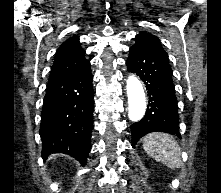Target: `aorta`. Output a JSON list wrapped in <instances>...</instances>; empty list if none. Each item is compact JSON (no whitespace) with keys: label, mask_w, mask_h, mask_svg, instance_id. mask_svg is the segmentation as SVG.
<instances>
[{"label":"aorta","mask_w":221,"mask_h":193,"mask_svg":"<svg viewBox=\"0 0 221 193\" xmlns=\"http://www.w3.org/2000/svg\"><path fill=\"white\" fill-rule=\"evenodd\" d=\"M126 89L128 96L129 119L131 121H139L145 114L146 98L142 84L134 75H130L126 81Z\"/></svg>","instance_id":"aorta-1"}]
</instances>
